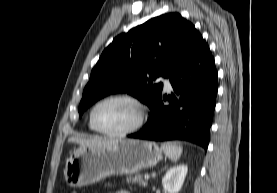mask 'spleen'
Wrapping results in <instances>:
<instances>
[{
  "label": "spleen",
  "instance_id": "obj_1",
  "mask_svg": "<svg viewBox=\"0 0 277 193\" xmlns=\"http://www.w3.org/2000/svg\"><path fill=\"white\" fill-rule=\"evenodd\" d=\"M161 149L164 154L173 161H177L180 158L183 150L182 146L170 142L163 143Z\"/></svg>",
  "mask_w": 277,
  "mask_h": 193
}]
</instances>
